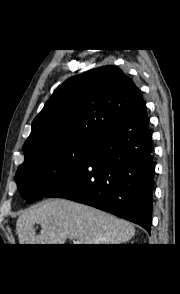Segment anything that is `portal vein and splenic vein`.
Masks as SVG:
<instances>
[{
  "instance_id": "18ae733b",
  "label": "portal vein and splenic vein",
  "mask_w": 180,
  "mask_h": 294,
  "mask_svg": "<svg viewBox=\"0 0 180 294\" xmlns=\"http://www.w3.org/2000/svg\"><path fill=\"white\" fill-rule=\"evenodd\" d=\"M73 244H80V242H79V240L74 239V240H73Z\"/></svg>"
}]
</instances>
